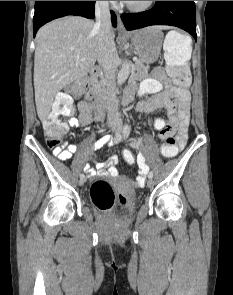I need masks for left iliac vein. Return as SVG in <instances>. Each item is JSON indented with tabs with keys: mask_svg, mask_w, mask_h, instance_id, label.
<instances>
[{
	"mask_svg": "<svg viewBox=\"0 0 233 295\" xmlns=\"http://www.w3.org/2000/svg\"><path fill=\"white\" fill-rule=\"evenodd\" d=\"M119 129H120V127H119ZM147 186H148V187H152V186H153V180H152V178H149V179L147 180Z\"/></svg>",
	"mask_w": 233,
	"mask_h": 295,
	"instance_id": "4c4485c4",
	"label": "left iliac vein"
}]
</instances>
